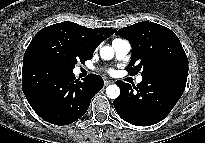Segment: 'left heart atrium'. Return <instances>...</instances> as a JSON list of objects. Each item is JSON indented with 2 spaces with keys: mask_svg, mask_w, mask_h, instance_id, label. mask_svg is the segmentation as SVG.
Instances as JSON below:
<instances>
[{
  "mask_svg": "<svg viewBox=\"0 0 205 143\" xmlns=\"http://www.w3.org/2000/svg\"><path fill=\"white\" fill-rule=\"evenodd\" d=\"M109 73H112V70H109Z\"/></svg>",
  "mask_w": 205,
  "mask_h": 143,
  "instance_id": "left-heart-atrium-1",
  "label": "left heart atrium"
}]
</instances>
